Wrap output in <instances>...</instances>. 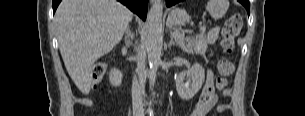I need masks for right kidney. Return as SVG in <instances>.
Segmentation results:
<instances>
[{
    "mask_svg": "<svg viewBox=\"0 0 305 116\" xmlns=\"http://www.w3.org/2000/svg\"><path fill=\"white\" fill-rule=\"evenodd\" d=\"M109 81L115 87L120 86L122 83V72L115 68L111 69Z\"/></svg>",
    "mask_w": 305,
    "mask_h": 116,
    "instance_id": "ca27d5eb",
    "label": "right kidney"
}]
</instances>
